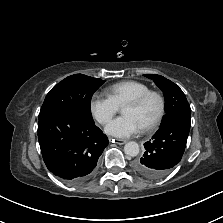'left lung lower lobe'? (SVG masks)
Returning a JSON list of instances; mask_svg holds the SVG:
<instances>
[{
    "mask_svg": "<svg viewBox=\"0 0 223 223\" xmlns=\"http://www.w3.org/2000/svg\"><path fill=\"white\" fill-rule=\"evenodd\" d=\"M191 123L173 120L160 126L152 140L144 144L145 153L133 163L134 170L148 179L166 176L181 160Z\"/></svg>",
    "mask_w": 223,
    "mask_h": 223,
    "instance_id": "0a47b994",
    "label": "left lung lower lobe"
}]
</instances>
